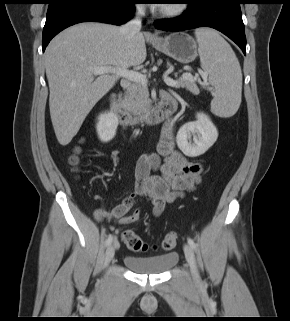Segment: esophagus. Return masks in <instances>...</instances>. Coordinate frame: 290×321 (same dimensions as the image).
<instances>
[{"instance_id": "34e87169", "label": "esophagus", "mask_w": 290, "mask_h": 321, "mask_svg": "<svg viewBox=\"0 0 290 321\" xmlns=\"http://www.w3.org/2000/svg\"><path fill=\"white\" fill-rule=\"evenodd\" d=\"M150 37H151V38H155L156 36H155V35H151Z\"/></svg>"}]
</instances>
